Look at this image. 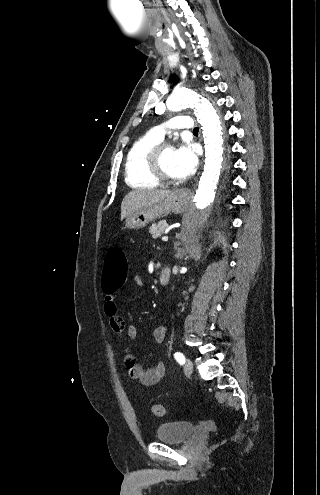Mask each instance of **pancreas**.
Listing matches in <instances>:
<instances>
[{
  "instance_id": "cf45deb5",
  "label": "pancreas",
  "mask_w": 320,
  "mask_h": 495,
  "mask_svg": "<svg viewBox=\"0 0 320 495\" xmlns=\"http://www.w3.org/2000/svg\"><path fill=\"white\" fill-rule=\"evenodd\" d=\"M168 224L165 220L159 221L157 224L154 223L152 224L151 227H149V232L151 233L153 238H158L160 237L165 230L167 229Z\"/></svg>"
}]
</instances>
